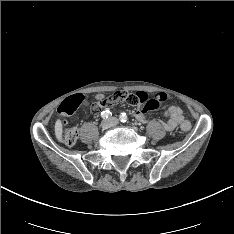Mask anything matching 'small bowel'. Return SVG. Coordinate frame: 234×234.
Masks as SVG:
<instances>
[{
	"instance_id": "1",
	"label": "small bowel",
	"mask_w": 234,
	"mask_h": 234,
	"mask_svg": "<svg viewBox=\"0 0 234 234\" xmlns=\"http://www.w3.org/2000/svg\"><path fill=\"white\" fill-rule=\"evenodd\" d=\"M108 104H111L110 102H106L103 107H106ZM148 109L146 108H138L134 111V116L139 122H146V112ZM164 115L168 118V120L164 123V127L171 131L174 128H176L178 125H182L184 120L183 111L178 106H168L164 108L163 111Z\"/></svg>"
}]
</instances>
